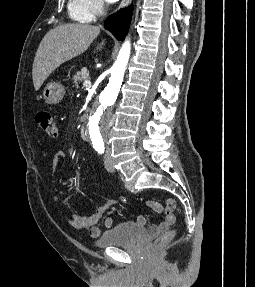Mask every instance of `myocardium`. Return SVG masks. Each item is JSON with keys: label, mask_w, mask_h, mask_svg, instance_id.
Here are the masks:
<instances>
[{"label": "myocardium", "mask_w": 255, "mask_h": 287, "mask_svg": "<svg viewBox=\"0 0 255 287\" xmlns=\"http://www.w3.org/2000/svg\"><path fill=\"white\" fill-rule=\"evenodd\" d=\"M96 39H108V38H96ZM96 48H106V47H96Z\"/></svg>", "instance_id": "f54148a6"}]
</instances>
